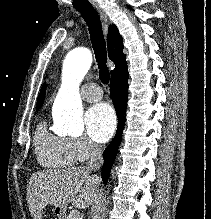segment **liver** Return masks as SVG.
Listing matches in <instances>:
<instances>
[{"instance_id": "1", "label": "liver", "mask_w": 211, "mask_h": 219, "mask_svg": "<svg viewBox=\"0 0 211 219\" xmlns=\"http://www.w3.org/2000/svg\"><path fill=\"white\" fill-rule=\"evenodd\" d=\"M84 166L44 170L33 174L27 186V202L33 219H41L47 205L66 208L72 203L85 209L98 197L100 179Z\"/></svg>"}]
</instances>
